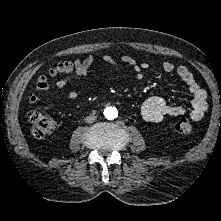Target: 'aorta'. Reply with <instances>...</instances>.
<instances>
[{"mask_svg":"<svg viewBox=\"0 0 221 221\" xmlns=\"http://www.w3.org/2000/svg\"><path fill=\"white\" fill-rule=\"evenodd\" d=\"M104 116L108 120H113V119L117 118L118 111L115 107H106L105 110H104Z\"/></svg>","mask_w":221,"mask_h":221,"instance_id":"obj_1","label":"aorta"}]
</instances>
